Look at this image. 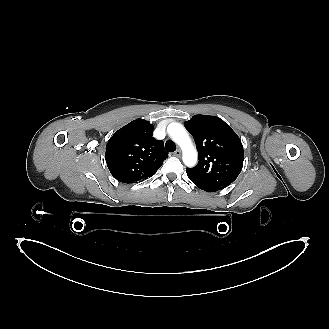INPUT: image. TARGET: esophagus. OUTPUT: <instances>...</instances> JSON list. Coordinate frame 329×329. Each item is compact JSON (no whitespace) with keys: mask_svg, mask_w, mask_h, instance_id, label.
<instances>
[{"mask_svg":"<svg viewBox=\"0 0 329 329\" xmlns=\"http://www.w3.org/2000/svg\"><path fill=\"white\" fill-rule=\"evenodd\" d=\"M181 154H182V152L179 149L174 152V155L178 156V157L181 156Z\"/></svg>","mask_w":329,"mask_h":329,"instance_id":"1","label":"esophagus"}]
</instances>
